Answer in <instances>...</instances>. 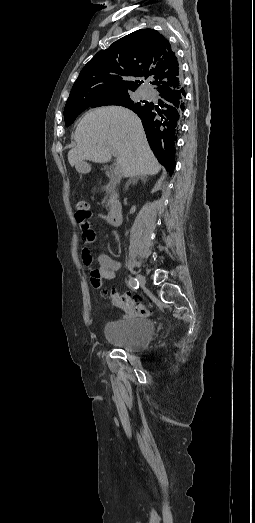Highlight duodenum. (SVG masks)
<instances>
[{
  "label": "duodenum",
  "instance_id": "1",
  "mask_svg": "<svg viewBox=\"0 0 255 523\" xmlns=\"http://www.w3.org/2000/svg\"><path fill=\"white\" fill-rule=\"evenodd\" d=\"M107 221L111 226H119L122 222V208L119 204H113L107 214Z\"/></svg>",
  "mask_w": 255,
  "mask_h": 523
}]
</instances>
